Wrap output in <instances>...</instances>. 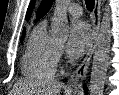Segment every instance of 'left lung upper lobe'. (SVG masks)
<instances>
[{"label": "left lung upper lobe", "mask_w": 119, "mask_h": 95, "mask_svg": "<svg viewBox=\"0 0 119 95\" xmlns=\"http://www.w3.org/2000/svg\"><path fill=\"white\" fill-rule=\"evenodd\" d=\"M52 1L53 0H45L43 2V4L41 5V7L39 9V12H38V16H37L38 18H41L44 14H46L49 11V9L52 5Z\"/></svg>", "instance_id": "obj_1"}]
</instances>
